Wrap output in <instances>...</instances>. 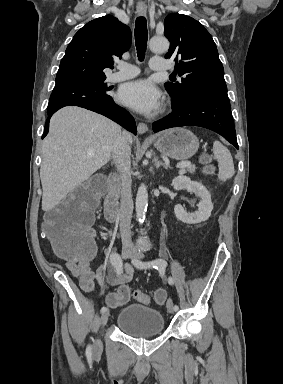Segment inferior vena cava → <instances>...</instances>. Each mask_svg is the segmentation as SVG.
Masks as SVG:
<instances>
[{"instance_id":"inferior-vena-cava-1","label":"inferior vena cava","mask_w":283,"mask_h":384,"mask_svg":"<svg viewBox=\"0 0 283 384\" xmlns=\"http://www.w3.org/2000/svg\"><path fill=\"white\" fill-rule=\"evenodd\" d=\"M131 136L128 132H122V136H118L115 144L111 148L114 164L120 172L121 178V200H120V234L123 248H132L131 240V218L133 214L132 200V180L128 174L130 166Z\"/></svg>"}]
</instances>
